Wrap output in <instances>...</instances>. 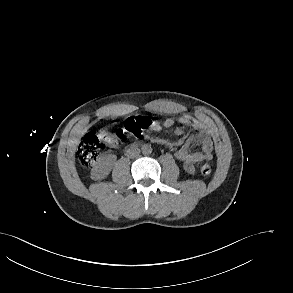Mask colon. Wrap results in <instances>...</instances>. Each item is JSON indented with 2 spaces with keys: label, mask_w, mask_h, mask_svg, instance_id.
I'll list each match as a JSON object with an SVG mask.
<instances>
[{
  "label": "colon",
  "mask_w": 293,
  "mask_h": 293,
  "mask_svg": "<svg viewBox=\"0 0 293 293\" xmlns=\"http://www.w3.org/2000/svg\"><path fill=\"white\" fill-rule=\"evenodd\" d=\"M153 117L134 116L126 119L121 128L114 132L103 131L100 134H87L78 149L80 162L90 167L98 159L103 146H118L123 142L140 137L144 132L157 126ZM212 171L210 165L205 164L200 168L202 175H209Z\"/></svg>",
  "instance_id": "obj_1"
}]
</instances>
